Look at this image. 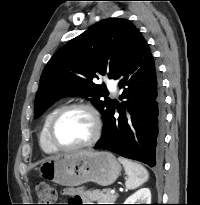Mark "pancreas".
I'll return each instance as SVG.
<instances>
[{
  "mask_svg": "<svg viewBox=\"0 0 200 205\" xmlns=\"http://www.w3.org/2000/svg\"><path fill=\"white\" fill-rule=\"evenodd\" d=\"M85 195L91 201H97L98 204H113L118 198V194H112L109 189L95 190Z\"/></svg>",
  "mask_w": 200,
  "mask_h": 205,
  "instance_id": "1",
  "label": "pancreas"
}]
</instances>
